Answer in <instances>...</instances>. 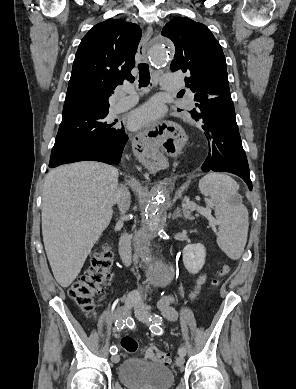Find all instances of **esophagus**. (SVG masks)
I'll use <instances>...</instances> for the list:
<instances>
[{
  "mask_svg": "<svg viewBox=\"0 0 296 389\" xmlns=\"http://www.w3.org/2000/svg\"><path fill=\"white\" fill-rule=\"evenodd\" d=\"M152 33V27L148 26L138 46L137 61L147 62V46ZM182 126L180 118H166L164 122H157L156 126H148L146 130L132 136V147L136 149L138 162L142 163L144 169H165L167 161L156 148V139H172Z\"/></svg>",
  "mask_w": 296,
  "mask_h": 389,
  "instance_id": "obj_1",
  "label": "esophagus"
}]
</instances>
